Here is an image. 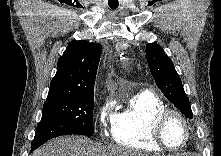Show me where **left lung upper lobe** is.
I'll return each mask as SVG.
<instances>
[{
	"label": "left lung upper lobe",
	"mask_w": 221,
	"mask_h": 156,
	"mask_svg": "<svg viewBox=\"0 0 221 156\" xmlns=\"http://www.w3.org/2000/svg\"><path fill=\"white\" fill-rule=\"evenodd\" d=\"M148 65L157 86L187 118L192 119V110L189 99L185 94L179 75L172 60L165 54L157 43L146 45Z\"/></svg>",
	"instance_id": "1"
}]
</instances>
